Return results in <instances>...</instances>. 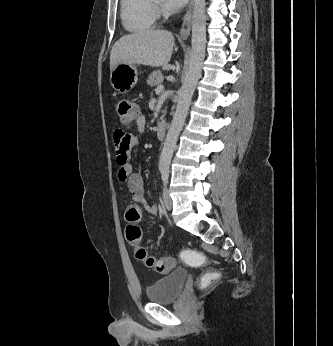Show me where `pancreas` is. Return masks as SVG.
Segmentation results:
<instances>
[{"label": "pancreas", "mask_w": 333, "mask_h": 346, "mask_svg": "<svg viewBox=\"0 0 333 346\" xmlns=\"http://www.w3.org/2000/svg\"><path fill=\"white\" fill-rule=\"evenodd\" d=\"M163 81V74L160 70L157 71H153L148 79H147V83L151 86H159Z\"/></svg>", "instance_id": "obj_1"}]
</instances>
